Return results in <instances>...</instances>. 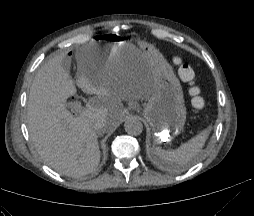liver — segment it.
Returning <instances> with one entry per match:
<instances>
[{
  "instance_id": "obj_1",
  "label": "liver",
  "mask_w": 254,
  "mask_h": 216,
  "mask_svg": "<svg viewBox=\"0 0 254 216\" xmlns=\"http://www.w3.org/2000/svg\"><path fill=\"white\" fill-rule=\"evenodd\" d=\"M92 48L90 43L77 54L76 84L83 92L96 95L79 115L66 108V100L76 93L66 53L51 58L38 70L28 98L31 140L42 159L67 176H84L99 165L95 122L105 120V128L111 130L123 114L122 101L147 100L153 88L151 70L146 64L105 71L91 80L87 65Z\"/></svg>"
}]
</instances>
